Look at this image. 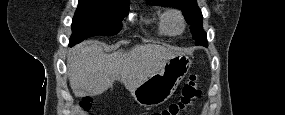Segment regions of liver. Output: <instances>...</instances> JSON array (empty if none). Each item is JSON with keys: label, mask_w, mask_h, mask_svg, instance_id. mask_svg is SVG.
I'll return each instance as SVG.
<instances>
[{"label": "liver", "mask_w": 285, "mask_h": 115, "mask_svg": "<svg viewBox=\"0 0 285 115\" xmlns=\"http://www.w3.org/2000/svg\"><path fill=\"white\" fill-rule=\"evenodd\" d=\"M181 54L161 45H136L131 50L104 54L98 41H85L69 50L67 67L71 89L76 97L102 94L120 78L133 92L165 63Z\"/></svg>", "instance_id": "obj_1"}]
</instances>
